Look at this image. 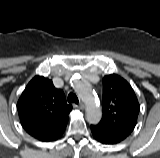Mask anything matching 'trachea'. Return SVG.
Returning <instances> with one entry per match:
<instances>
[{
	"label": "trachea",
	"mask_w": 160,
	"mask_h": 158,
	"mask_svg": "<svg viewBox=\"0 0 160 158\" xmlns=\"http://www.w3.org/2000/svg\"><path fill=\"white\" fill-rule=\"evenodd\" d=\"M67 100H68V102L75 103V104H78V102H79L77 96L72 92L69 93Z\"/></svg>",
	"instance_id": "1"
}]
</instances>
